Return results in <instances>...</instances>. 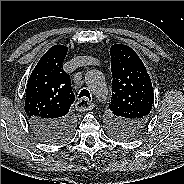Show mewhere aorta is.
<instances>
[{
  "mask_svg": "<svg viewBox=\"0 0 184 184\" xmlns=\"http://www.w3.org/2000/svg\"><path fill=\"white\" fill-rule=\"evenodd\" d=\"M85 80L93 95L100 99L102 97V92L105 89V82L102 72L99 70H91L86 73Z\"/></svg>",
  "mask_w": 184,
  "mask_h": 184,
  "instance_id": "obj_1",
  "label": "aorta"
}]
</instances>
